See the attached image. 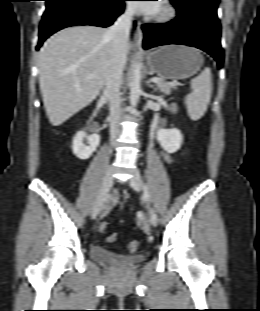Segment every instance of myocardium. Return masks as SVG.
Returning <instances> with one entry per match:
<instances>
[{"instance_id":"f54148a6","label":"myocardium","mask_w":260,"mask_h":311,"mask_svg":"<svg viewBox=\"0 0 260 311\" xmlns=\"http://www.w3.org/2000/svg\"><path fill=\"white\" fill-rule=\"evenodd\" d=\"M176 17V9L169 0H163L159 10L154 15V20L159 23H168Z\"/></svg>"}]
</instances>
